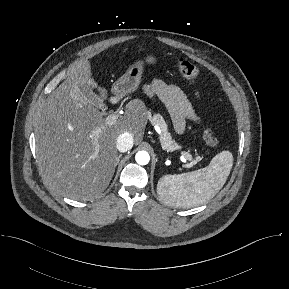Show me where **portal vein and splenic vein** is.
Returning <instances> with one entry per match:
<instances>
[{
  "instance_id": "1",
  "label": "portal vein and splenic vein",
  "mask_w": 289,
  "mask_h": 289,
  "mask_svg": "<svg viewBox=\"0 0 289 289\" xmlns=\"http://www.w3.org/2000/svg\"><path fill=\"white\" fill-rule=\"evenodd\" d=\"M118 120V115L113 113V114H110L106 119L105 121L107 122L108 125H114ZM181 160L183 162H186V160H189V161H192L193 158H192V155L187 153V152H181Z\"/></svg>"
}]
</instances>
